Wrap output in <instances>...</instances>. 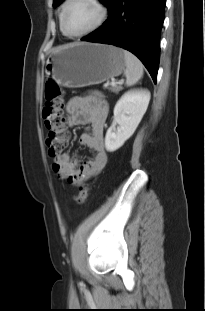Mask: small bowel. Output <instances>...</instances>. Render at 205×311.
Wrapping results in <instances>:
<instances>
[{
	"label": "small bowel",
	"instance_id": "c3829d8e",
	"mask_svg": "<svg viewBox=\"0 0 205 311\" xmlns=\"http://www.w3.org/2000/svg\"><path fill=\"white\" fill-rule=\"evenodd\" d=\"M65 111L67 126H89V130L81 134L79 144L91 149L93 156L79 165L76 158L62 153L54 158L52 169L69 183L78 185L100 173L107 164L104 128L108 105L99 94L75 96L69 99Z\"/></svg>",
	"mask_w": 205,
	"mask_h": 311
}]
</instances>
